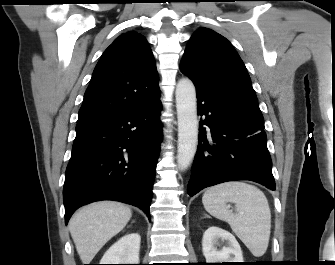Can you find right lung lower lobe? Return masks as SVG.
<instances>
[{
  "mask_svg": "<svg viewBox=\"0 0 335 265\" xmlns=\"http://www.w3.org/2000/svg\"><path fill=\"white\" fill-rule=\"evenodd\" d=\"M160 98L104 119L78 123L65 173V223L82 205L117 200L150 219L152 187L162 140Z\"/></svg>",
  "mask_w": 335,
  "mask_h": 265,
  "instance_id": "right-lung-lower-lobe-1",
  "label": "right lung lower lobe"
}]
</instances>
